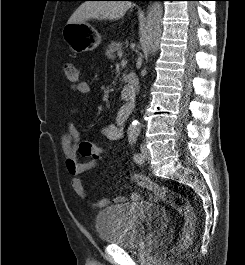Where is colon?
Masks as SVG:
<instances>
[{"mask_svg":"<svg viewBox=\"0 0 245 265\" xmlns=\"http://www.w3.org/2000/svg\"><path fill=\"white\" fill-rule=\"evenodd\" d=\"M64 72L67 81L73 88H76L79 83V71L77 67L72 63H67L64 66ZM78 152L82 157L93 159H99L103 154L102 148L90 141H82L78 146ZM132 179L139 186L156 193L159 198L184 216L185 225L183 235L178 244L173 248V252H180L188 248L194 238L196 217L187 199L180 193L174 192L166 186L156 184L144 175L133 174Z\"/></svg>","mask_w":245,"mask_h":265,"instance_id":"5ec220e1","label":"colon"}]
</instances>
